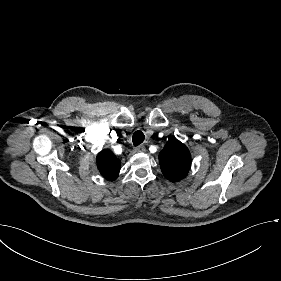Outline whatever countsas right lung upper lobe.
Masks as SVG:
<instances>
[{
  "label": "right lung upper lobe",
  "instance_id": "right-lung-upper-lobe-1",
  "mask_svg": "<svg viewBox=\"0 0 281 281\" xmlns=\"http://www.w3.org/2000/svg\"><path fill=\"white\" fill-rule=\"evenodd\" d=\"M96 161L98 169L105 179L109 181L117 179L120 171V160L110 150H102Z\"/></svg>",
  "mask_w": 281,
  "mask_h": 281
}]
</instances>
